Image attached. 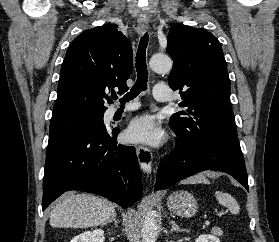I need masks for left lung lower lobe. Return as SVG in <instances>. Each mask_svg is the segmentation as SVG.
Returning <instances> with one entry per match:
<instances>
[{
    "label": "left lung lower lobe",
    "mask_w": 279,
    "mask_h": 242,
    "mask_svg": "<svg viewBox=\"0 0 279 242\" xmlns=\"http://www.w3.org/2000/svg\"><path fill=\"white\" fill-rule=\"evenodd\" d=\"M204 170L224 171L233 176L247 190L248 180L241 151L216 145L195 148H176L161 161L155 190L166 189L176 182Z\"/></svg>",
    "instance_id": "left-lung-lower-lobe-1"
}]
</instances>
